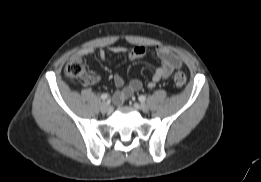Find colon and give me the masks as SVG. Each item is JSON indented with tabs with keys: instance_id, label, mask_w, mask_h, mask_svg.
Segmentation results:
<instances>
[{
	"instance_id": "1",
	"label": "colon",
	"mask_w": 261,
	"mask_h": 182,
	"mask_svg": "<svg viewBox=\"0 0 261 182\" xmlns=\"http://www.w3.org/2000/svg\"><path fill=\"white\" fill-rule=\"evenodd\" d=\"M87 63L84 59L72 57L65 66L66 77L70 81L89 78L86 72ZM176 86L181 87L186 83V75L183 72H176L173 77Z\"/></svg>"
}]
</instances>
